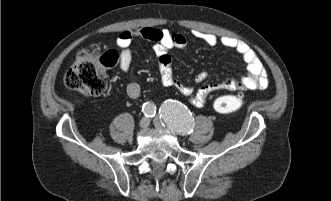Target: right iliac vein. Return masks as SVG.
Returning a JSON list of instances; mask_svg holds the SVG:
<instances>
[{
  "instance_id": "right-iliac-vein-1",
  "label": "right iliac vein",
  "mask_w": 331,
  "mask_h": 201,
  "mask_svg": "<svg viewBox=\"0 0 331 201\" xmlns=\"http://www.w3.org/2000/svg\"><path fill=\"white\" fill-rule=\"evenodd\" d=\"M149 124H150V120H149V118H147V117H143V118L140 120V123H139V125H140L141 128H146V127L149 126Z\"/></svg>"
}]
</instances>
